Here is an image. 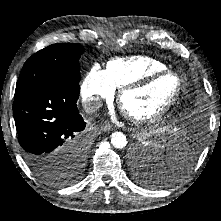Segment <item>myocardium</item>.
Masks as SVG:
<instances>
[{"label": "myocardium", "instance_id": "1", "mask_svg": "<svg viewBox=\"0 0 221 221\" xmlns=\"http://www.w3.org/2000/svg\"><path fill=\"white\" fill-rule=\"evenodd\" d=\"M163 76H172L175 78V80L177 82L176 91H175L174 95L172 96V98L170 99V101L165 106H163L161 109H159L156 113H154L152 115L142 116V117L134 116L130 113H127L123 109L122 101H123L124 96L127 93L144 88L147 85H149L152 81H154L155 79L163 77ZM182 88H183L182 79L180 78V76L176 72H174L172 70H168V69L163 70V71L151 72V73H148L135 81H132L130 83L123 85L118 92L117 103H118L120 110L124 114V116L128 120H130L131 122H133L135 124L153 123V122H157L160 119H162L175 106V104H176L177 100L179 99L180 94L182 92Z\"/></svg>", "mask_w": 221, "mask_h": 221}]
</instances>
